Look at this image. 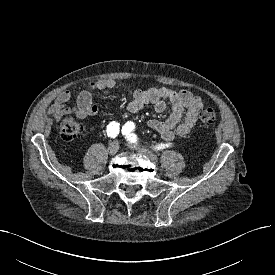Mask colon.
<instances>
[{
    "label": "colon",
    "instance_id": "5ec220e1",
    "mask_svg": "<svg viewBox=\"0 0 275 275\" xmlns=\"http://www.w3.org/2000/svg\"><path fill=\"white\" fill-rule=\"evenodd\" d=\"M199 118L203 125L212 126L217 121V112L212 108L203 109ZM82 131V125L72 116H66L61 121V135L65 140H72Z\"/></svg>",
    "mask_w": 275,
    "mask_h": 275
}]
</instances>
